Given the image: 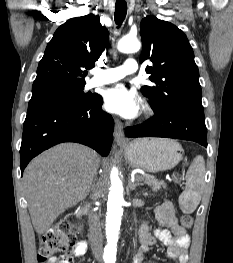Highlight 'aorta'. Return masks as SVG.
<instances>
[{
  "label": "aorta",
  "mask_w": 233,
  "mask_h": 263,
  "mask_svg": "<svg viewBox=\"0 0 233 263\" xmlns=\"http://www.w3.org/2000/svg\"><path fill=\"white\" fill-rule=\"evenodd\" d=\"M118 50L123 53H133L139 51L141 44L136 37L125 36L118 42ZM107 216H106V238L107 245L104 256L107 259L116 258L117 242L123 215V186L118 176V170L111 171V182L107 187Z\"/></svg>",
  "instance_id": "aorta-1"
}]
</instances>
